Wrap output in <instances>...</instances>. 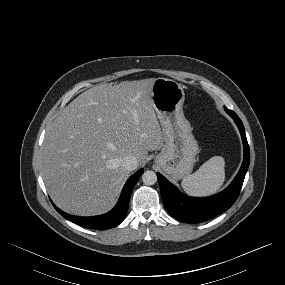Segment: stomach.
I'll return each instance as SVG.
<instances>
[{
  "mask_svg": "<svg viewBox=\"0 0 285 285\" xmlns=\"http://www.w3.org/2000/svg\"><path fill=\"white\" fill-rule=\"evenodd\" d=\"M151 94L165 142L154 162L166 174L179 180L192 172L199 153L192 127L182 109L184 90L180 83L172 79L157 78L152 85Z\"/></svg>",
  "mask_w": 285,
  "mask_h": 285,
  "instance_id": "obj_1",
  "label": "stomach"
}]
</instances>
